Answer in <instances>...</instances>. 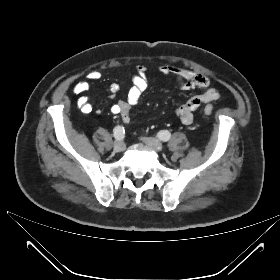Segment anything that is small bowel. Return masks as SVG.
<instances>
[{
	"mask_svg": "<svg viewBox=\"0 0 280 280\" xmlns=\"http://www.w3.org/2000/svg\"><path fill=\"white\" fill-rule=\"evenodd\" d=\"M148 67L145 64L136 66L135 71L128 75L132 86L128 91L127 100L113 105L111 111L121 117L124 124L131 120V108L138 104L142 93L148 87L147 77ZM159 72L165 76L175 77L181 90L199 89L202 93L192 96L184 104L180 105L175 114L184 125H191L194 112L202 105L216 101L220 98V92L215 88H210V79L198 72L172 64H162ZM103 77L99 70H91L87 73V80H79L73 85V92L80 97L77 99V106L83 113H91L93 110L92 101L85 93L90 88V82L98 81ZM119 91L117 83L111 84L106 92L109 98H114Z\"/></svg>",
	"mask_w": 280,
	"mask_h": 280,
	"instance_id": "c3829d8e",
	"label": "small bowel"
}]
</instances>
